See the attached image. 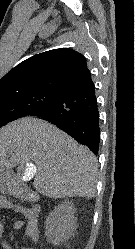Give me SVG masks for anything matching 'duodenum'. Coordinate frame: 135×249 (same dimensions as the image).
Returning a JSON list of instances; mask_svg holds the SVG:
<instances>
[{"label": "duodenum", "instance_id": "duodenum-1", "mask_svg": "<svg viewBox=\"0 0 135 249\" xmlns=\"http://www.w3.org/2000/svg\"><path fill=\"white\" fill-rule=\"evenodd\" d=\"M20 193L21 197L27 201L36 202L38 200L36 193L28 188H21Z\"/></svg>", "mask_w": 135, "mask_h": 249}]
</instances>
